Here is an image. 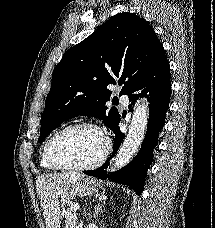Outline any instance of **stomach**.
Listing matches in <instances>:
<instances>
[{
  "instance_id": "1",
  "label": "stomach",
  "mask_w": 215,
  "mask_h": 228,
  "mask_svg": "<svg viewBox=\"0 0 215 228\" xmlns=\"http://www.w3.org/2000/svg\"><path fill=\"white\" fill-rule=\"evenodd\" d=\"M99 188H101L99 180L94 182L87 178V180L74 182V184H62L59 196L65 200H71L75 196H93V194H97Z\"/></svg>"
}]
</instances>
